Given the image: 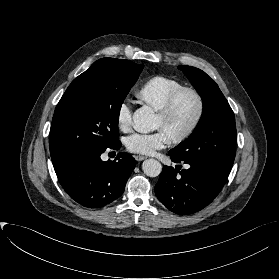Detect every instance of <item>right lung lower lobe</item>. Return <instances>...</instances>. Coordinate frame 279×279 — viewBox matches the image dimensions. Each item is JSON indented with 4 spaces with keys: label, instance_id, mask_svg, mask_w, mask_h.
Segmentation results:
<instances>
[{
    "label": "right lung lower lobe",
    "instance_id": "98d812e1",
    "mask_svg": "<svg viewBox=\"0 0 279 279\" xmlns=\"http://www.w3.org/2000/svg\"><path fill=\"white\" fill-rule=\"evenodd\" d=\"M121 142L88 153L64 156L52 161L60 184L77 203L88 208L104 207L121 196L135 168V159L118 153L114 161H102L109 149L118 150Z\"/></svg>",
    "mask_w": 279,
    "mask_h": 279
}]
</instances>
